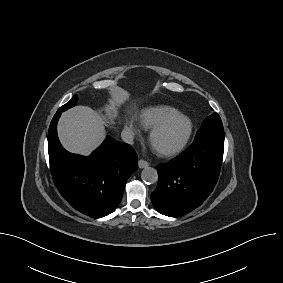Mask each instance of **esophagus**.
I'll list each match as a JSON object with an SVG mask.
<instances>
[{
	"label": "esophagus",
	"mask_w": 283,
	"mask_h": 283,
	"mask_svg": "<svg viewBox=\"0 0 283 283\" xmlns=\"http://www.w3.org/2000/svg\"><path fill=\"white\" fill-rule=\"evenodd\" d=\"M138 166H139V168L142 169V168H145V167L149 166V163L147 161L143 160V159H140L138 161Z\"/></svg>",
	"instance_id": "34e87169"
}]
</instances>
